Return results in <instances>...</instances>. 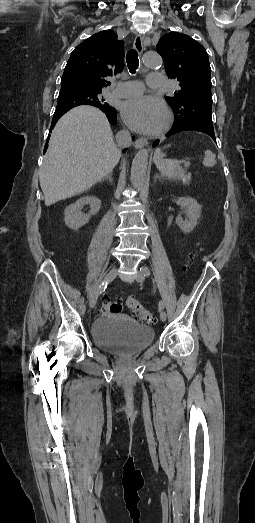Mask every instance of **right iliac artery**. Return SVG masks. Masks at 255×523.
<instances>
[{"mask_svg":"<svg viewBox=\"0 0 255 523\" xmlns=\"http://www.w3.org/2000/svg\"><path fill=\"white\" fill-rule=\"evenodd\" d=\"M107 282H103L100 286H99V294H101L103 291H105V289L107 288Z\"/></svg>","mask_w":255,"mask_h":523,"instance_id":"1","label":"right iliac artery"}]
</instances>
